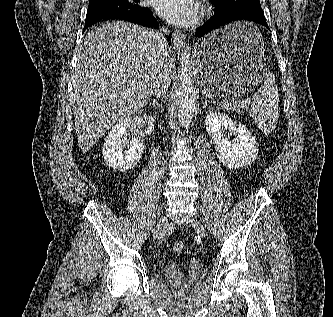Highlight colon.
I'll use <instances>...</instances> for the list:
<instances>
[{"label":"colon","mask_w":333,"mask_h":317,"mask_svg":"<svg viewBox=\"0 0 333 317\" xmlns=\"http://www.w3.org/2000/svg\"><path fill=\"white\" fill-rule=\"evenodd\" d=\"M174 248V251L177 252V253H181L184 251L185 249V245L183 242L179 241V242H176L173 246Z\"/></svg>","instance_id":"obj_1"}]
</instances>
